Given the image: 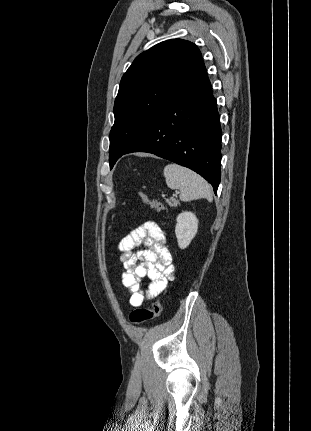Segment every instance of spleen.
<instances>
[{
	"mask_svg": "<svg viewBox=\"0 0 311 431\" xmlns=\"http://www.w3.org/2000/svg\"><path fill=\"white\" fill-rule=\"evenodd\" d=\"M163 176L166 180L168 188L171 190H180L179 198L182 202H190V200H199L206 198L208 202H212V190L210 184L203 180L201 176L182 168L177 164H168L163 170Z\"/></svg>",
	"mask_w": 311,
	"mask_h": 431,
	"instance_id": "spleen-1",
	"label": "spleen"
}]
</instances>
